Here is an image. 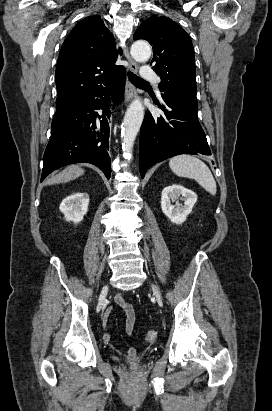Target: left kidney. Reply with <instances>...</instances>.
<instances>
[{
  "label": "left kidney",
  "mask_w": 272,
  "mask_h": 411,
  "mask_svg": "<svg viewBox=\"0 0 272 411\" xmlns=\"http://www.w3.org/2000/svg\"><path fill=\"white\" fill-rule=\"evenodd\" d=\"M179 199L184 201V204H180ZM174 202L175 205L172 204ZM196 202L197 195L178 184L165 187L161 194L162 212L175 224H182L186 220Z\"/></svg>",
  "instance_id": "1"
}]
</instances>
